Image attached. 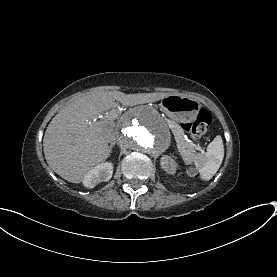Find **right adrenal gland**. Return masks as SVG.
I'll return each instance as SVG.
<instances>
[{
	"label": "right adrenal gland",
	"instance_id": "obj_1",
	"mask_svg": "<svg viewBox=\"0 0 277 277\" xmlns=\"http://www.w3.org/2000/svg\"><path fill=\"white\" fill-rule=\"evenodd\" d=\"M115 144H116V142H112L111 145H110V147H111V148L114 147Z\"/></svg>",
	"mask_w": 277,
	"mask_h": 277
}]
</instances>
